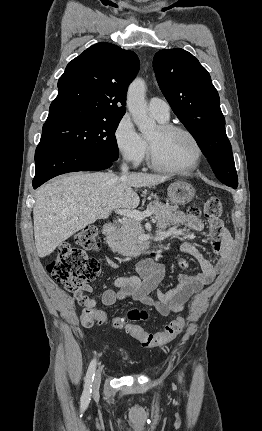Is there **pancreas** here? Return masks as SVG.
Segmentation results:
<instances>
[{"instance_id": "pancreas-1", "label": "pancreas", "mask_w": 262, "mask_h": 431, "mask_svg": "<svg viewBox=\"0 0 262 431\" xmlns=\"http://www.w3.org/2000/svg\"><path fill=\"white\" fill-rule=\"evenodd\" d=\"M146 210L150 211L155 219L165 221L172 216L176 207L154 201L148 204ZM143 234L141 222L128 219L115 232L110 243L111 250L122 255H137L147 246V242L141 239Z\"/></svg>"}]
</instances>
